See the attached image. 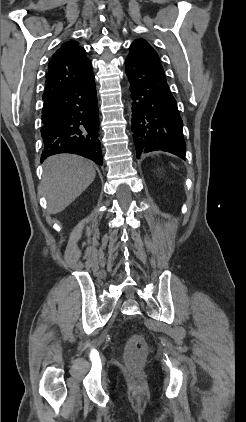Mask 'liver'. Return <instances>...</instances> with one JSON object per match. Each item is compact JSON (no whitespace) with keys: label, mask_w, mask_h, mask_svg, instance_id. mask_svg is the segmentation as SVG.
<instances>
[{"label":"liver","mask_w":246,"mask_h":422,"mask_svg":"<svg viewBox=\"0 0 246 422\" xmlns=\"http://www.w3.org/2000/svg\"><path fill=\"white\" fill-rule=\"evenodd\" d=\"M96 172L90 161L72 154L49 157L44 164L40 190L48 211L57 214L68 207L93 182Z\"/></svg>","instance_id":"obj_1"}]
</instances>
